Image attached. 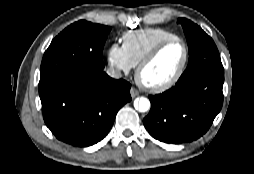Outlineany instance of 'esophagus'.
I'll list each match as a JSON object with an SVG mask.
<instances>
[{"label":"esophagus","instance_id":"esophagus-1","mask_svg":"<svg viewBox=\"0 0 254 174\" xmlns=\"http://www.w3.org/2000/svg\"><path fill=\"white\" fill-rule=\"evenodd\" d=\"M130 94H131L132 98H135L139 95V92H138V90H136L135 88L132 87L130 90Z\"/></svg>","mask_w":254,"mask_h":174}]
</instances>
